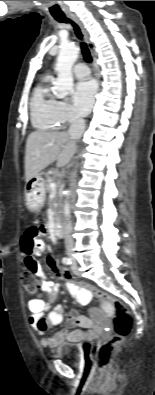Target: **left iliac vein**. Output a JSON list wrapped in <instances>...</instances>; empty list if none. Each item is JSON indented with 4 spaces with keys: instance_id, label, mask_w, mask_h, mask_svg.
<instances>
[{
    "instance_id": "left-iliac-vein-1",
    "label": "left iliac vein",
    "mask_w": 155,
    "mask_h": 395,
    "mask_svg": "<svg viewBox=\"0 0 155 395\" xmlns=\"http://www.w3.org/2000/svg\"><path fill=\"white\" fill-rule=\"evenodd\" d=\"M71 270H72L73 274L79 275L78 266H77V263L75 260H73V262H72Z\"/></svg>"
}]
</instances>
